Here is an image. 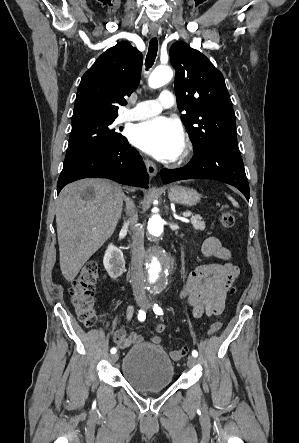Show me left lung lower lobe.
Instances as JSON below:
<instances>
[{
  "mask_svg": "<svg viewBox=\"0 0 299 443\" xmlns=\"http://www.w3.org/2000/svg\"><path fill=\"white\" fill-rule=\"evenodd\" d=\"M163 183L183 179H213L238 188L249 201V184L239 150L225 146H209L194 152L191 161L183 168L162 169Z\"/></svg>",
  "mask_w": 299,
  "mask_h": 443,
  "instance_id": "obj_1",
  "label": "left lung lower lobe"
}]
</instances>
